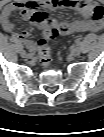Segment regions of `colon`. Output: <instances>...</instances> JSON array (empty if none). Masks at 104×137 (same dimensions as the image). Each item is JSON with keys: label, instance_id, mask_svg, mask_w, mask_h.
Instances as JSON below:
<instances>
[{"label": "colon", "instance_id": "obj_1", "mask_svg": "<svg viewBox=\"0 0 104 137\" xmlns=\"http://www.w3.org/2000/svg\"><path fill=\"white\" fill-rule=\"evenodd\" d=\"M33 22L37 24H48V26L42 30L43 31V37L38 42L37 47V54L39 61L42 65H49L51 62V51L48 45V41L50 39H54L59 35L58 28L49 25V19L48 15L45 11L37 10L34 12L32 16Z\"/></svg>", "mask_w": 104, "mask_h": 137}]
</instances>
